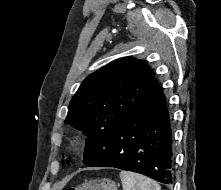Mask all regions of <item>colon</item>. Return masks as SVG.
<instances>
[{"mask_svg": "<svg viewBox=\"0 0 221 190\" xmlns=\"http://www.w3.org/2000/svg\"><path fill=\"white\" fill-rule=\"evenodd\" d=\"M68 190H117V188L112 180L100 178L86 181Z\"/></svg>", "mask_w": 221, "mask_h": 190, "instance_id": "obj_1", "label": "colon"}]
</instances>
